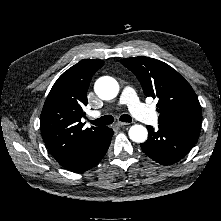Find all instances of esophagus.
Here are the masks:
<instances>
[{
    "label": "esophagus",
    "instance_id": "34e87169",
    "mask_svg": "<svg viewBox=\"0 0 221 221\" xmlns=\"http://www.w3.org/2000/svg\"><path fill=\"white\" fill-rule=\"evenodd\" d=\"M116 125H117L118 127H126V126L130 125V123L118 122Z\"/></svg>",
    "mask_w": 221,
    "mask_h": 221
}]
</instances>
